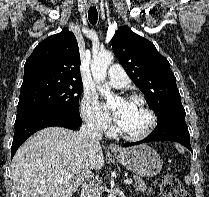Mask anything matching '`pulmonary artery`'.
<instances>
[{
  "mask_svg": "<svg viewBox=\"0 0 209 197\" xmlns=\"http://www.w3.org/2000/svg\"><path fill=\"white\" fill-rule=\"evenodd\" d=\"M108 83L115 88H124L129 83V78L124 71V69L118 65L114 64L110 66Z\"/></svg>",
  "mask_w": 209,
  "mask_h": 197,
  "instance_id": "e3ab8cb5",
  "label": "pulmonary artery"
}]
</instances>
